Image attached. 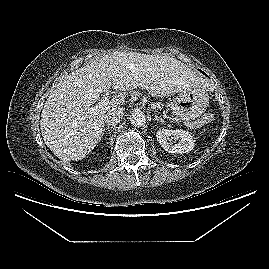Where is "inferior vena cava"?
I'll use <instances>...</instances> for the list:
<instances>
[{"label":"inferior vena cava","instance_id":"602c4592","mask_svg":"<svg viewBox=\"0 0 269 269\" xmlns=\"http://www.w3.org/2000/svg\"><path fill=\"white\" fill-rule=\"evenodd\" d=\"M123 115V108H112L106 113L104 121L108 126H115L121 121Z\"/></svg>","mask_w":269,"mask_h":269}]
</instances>
